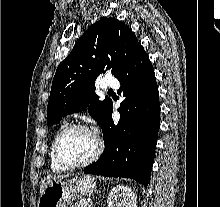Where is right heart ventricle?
<instances>
[{
    "mask_svg": "<svg viewBox=\"0 0 220 207\" xmlns=\"http://www.w3.org/2000/svg\"><path fill=\"white\" fill-rule=\"evenodd\" d=\"M49 158H50V166L54 171H60V170H64L62 167H60L54 160L53 158V154H52V146L50 148V152H49Z\"/></svg>",
    "mask_w": 220,
    "mask_h": 207,
    "instance_id": "e07e8e85",
    "label": "right heart ventricle"
}]
</instances>
